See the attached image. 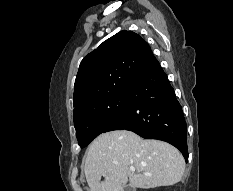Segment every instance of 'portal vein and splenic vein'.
Returning <instances> with one entry per match:
<instances>
[{
  "mask_svg": "<svg viewBox=\"0 0 233 191\" xmlns=\"http://www.w3.org/2000/svg\"><path fill=\"white\" fill-rule=\"evenodd\" d=\"M130 170L132 171V172H134L135 171V168H134V166H131L130 167ZM145 175H150L149 173H144Z\"/></svg>",
  "mask_w": 233,
  "mask_h": 191,
  "instance_id": "portal-vein-and-splenic-vein-1",
  "label": "portal vein and splenic vein"
}]
</instances>
